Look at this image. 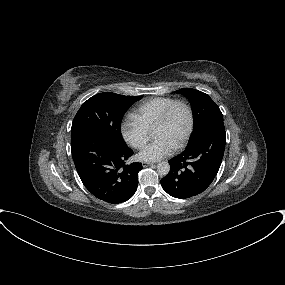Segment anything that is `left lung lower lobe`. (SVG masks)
<instances>
[{
	"mask_svg": "<svg viewBox=\"0 0 285 285\" xmlns=\"http://www.w3.org/2000/svg\"><path fill=\"white\" fill-rule=\"evenodd\" d=\"M223 121L209 124L180 155L169 160L170 172L161 179L171 196L186 199L202 193L214 180L224 155Z\"/></svg>",
	"mask_w": 285,
	"mask_h": 285,
	"instance_id": "obj_1",
	"label": "left lung lower lobe"
}]
</instances>
